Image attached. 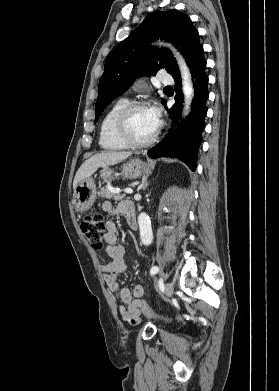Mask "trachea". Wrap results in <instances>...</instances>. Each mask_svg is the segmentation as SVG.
Returning <instances> with one entry per match:
<instances>
[{"label": "trachea", "instance_id": "1", "mask_svg": "<svg viewBox=\"0 0 279 391\" xmlns=\"http://www.w3.org/2000/svg\"><path fill=\"white\" fill-rule=\"evenodd\" d=\"M164 89H171V87H170V86H167V87H165Z\"/></svg>", "mask_w": 279, "mask_h": 391}]
</instances>
